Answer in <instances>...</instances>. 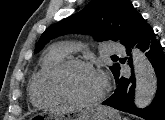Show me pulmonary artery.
<instances>
[{"label": "pulmonary artery", "instance_id": "e3ab8cb5", "mask_svg": "<svg viewBox=\"0 0 165 120\" xmlns=\"http://www.w3.org/2000/svg\"><path fill=\"white\" fill-rule=\"evenodd\" d=\"M59 50L62 51L63 53H67L68 51L71 50V48L68 46H61L59 47ZM103 51L108 55L123 54L125 52V48L118 43H106L103 46Z\"/></svg>", "mask_w": 165, "mask_h": 120}]
</instances>
